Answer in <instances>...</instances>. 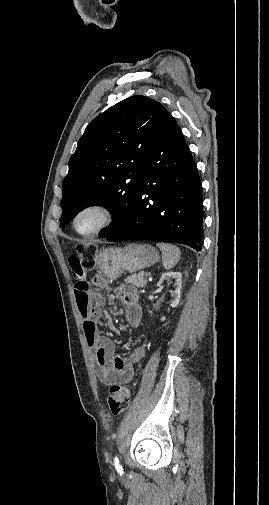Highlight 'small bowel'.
Returning a JSON list of instances; mask_svg holds the SVG:
<instances>
[{
    "instance_id": "obj_1",
    "label": "small bowel",
    "mask_w": 269,
    "mask_h": 505,
    "mask_svg": "<svg viewBox=\"0 0 269 505\" xmlns=\"http://www.w3.org/2000/svg\"><path fill=\"white\" fill-rule=\"evenodd\" d=\"M81 267L80 259L68 261V268L73 272L75 279V297L82 318L86 343L94 354L97 377L105 385L128 383L133 378L135 364L145 355L147 344L135 348L128 357L115 355L114 343L110 338L99 334L97 325V322L103 318L106 324L112 328L111 315L102 308L103 297L90 295L89 286L85 279L87 271ZM93 282L97 287L105 286L104 279L99 275L93 278ZM118 294L126 307L128 323L133 327L139 326L142 313L137 292L132 287L123 286L119 288Z\"/></svg>"
}]
</instances>
